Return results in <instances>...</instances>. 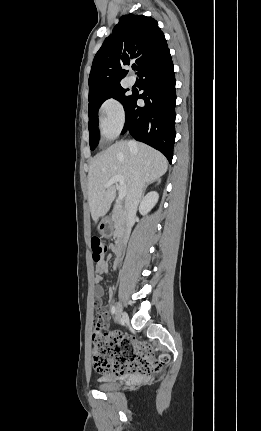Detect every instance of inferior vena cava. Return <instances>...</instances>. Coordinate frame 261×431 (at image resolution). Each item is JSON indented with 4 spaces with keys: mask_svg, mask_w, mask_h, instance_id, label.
<instances>
[{
    "mask_svg": "<svg viewBox=\"0 0 261 431\" xmlns=\"http://www.w3.org/2000/svg\"><path fill=\"white\" fill-rule=\"evenodd\" d=\"M144 187L145 186L142 178L136 172L134 182L131 186V189L127 193V196L125 199L124 215H125L126 231H125V236L123 238L124 245L128 241L138 205L141 202L143 197Z\"/></svg>",
    "mask_w": 261,
    "mask_h": 431,
    "instance_id": "inferior-vena-cava-1",
    "label": "inferior vena cava"
}]
</instances>
